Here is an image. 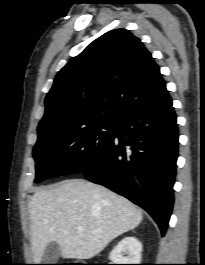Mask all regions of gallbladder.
<instances>
[{
  "label": "gallbladder",
  "instance_id": "bac80fb5",
  "mask_svg": "<svg viewBox=\"0 0 205 265\" xmlns=\"http://www.w3.org/2000/svg\"><path fill=\"white\" fill-rule=\"evenodd\" d=\"M61 255V249L58 243L50 242L43 253L42 263L43 264H54L57 262Z\"/></svg>",
  "mask_w": 205,
  "mask_h": 265
}]
</instances>
